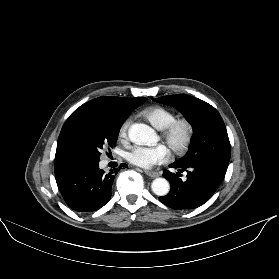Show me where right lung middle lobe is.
I'll return each mask as SVG.
<instances>
[{
	"label": "right lung middle lobe",
	"instance_id": "obj_1",
	"mask_svg": "<svg viewBox=\"0 0 279 279\" xmlns=\"http://www.w3.org/2000/svg\"><path fill=\"white\" fill-rule=\"evenodd\" d=\"M125 114L96 115L77 122L68 132L63 152L68 162L100 161L103 148L113 147Z\"/></svg>",
	"mask_w": 279,
	"mask_h": 279
}]
</instances>
